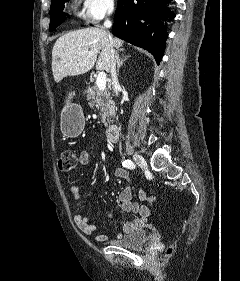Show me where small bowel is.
I'll list each match as a JSON object with an SVG mask.
<instances>
[{
    "label": "small bowel",
    "mask_w": 240,
    "mask_h": 281,
    "mask_svg": "<svg viewBox=\"0 0 240 281\" xmlns=\"http://www.w3.org/2000/svg\"><path fill=\"white\" fill-rule=\"evenodd\" d=\"M90 152L82 151L79 154L78 161L82 166L87 165L90 162ZM114 175L118 178L124 179L127 181L126 187L122 189L118 196V202L122 210L125 212H133L139 215L138 218H135L131 221H120L122 226V232L118 234V237H122L126 234L132 233L136 230L141 229L146 222V219L150 215V209L146 205L139 204L137 202H133L132 200V187L131 180L127 170L124 168H116L114 171ZM70 193L75 200L74 204V222L77 227L88 236H95L97 241L106 240L105 235H96L97 226L90 222L89 217L82 214V203H81V189L77 185H72L70 188ZM142 198H145L146 194L144 192L140 193ZM106 215L109 218H114V214L111 211H106Z\"/></svg>",
    "instance_id": "1"
}]
</instances>
